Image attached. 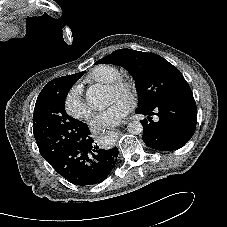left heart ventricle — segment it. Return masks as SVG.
Listing matches in <instances>:
<instances>
[{
    "label": "left heart ventricle",
    "mask_w": 227,
    "mask_h": 227,
    "mask_svg": "<svg viewBox=\"0 0 227 227\" xmlns=\"http://www.w3.org/2000/svg\"><path fill=\"white\" fill-rule=\"evenodd\" d=\"M106 95H107V99L109 101H112L115 98H118V97H121V96H124V95H127V94L121 89L114 90V89L107 88L106 89Z\"/></svg>",
    "instance_id": "b2bd125f"
}]
</instances>
